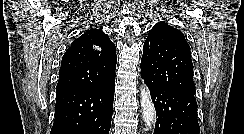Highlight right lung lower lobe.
Segmentation results:
<instances>
[{
	"mask_svg": "<svg viewBox=\"0 0 244 134\" xmlns=\"http://www.w3.org/2000/svg\"><path fill=\"white\" fill-rule=\"evenodd\" d=\"M115 76L91 87L56 93L51 134H108L111 126Z\"/></svg>",
	"mask_w": 244,
	"mask_h": 134,
	"instance_id": "obj_1",
	"label": "right lung lower lobe"
}]
</instances>
